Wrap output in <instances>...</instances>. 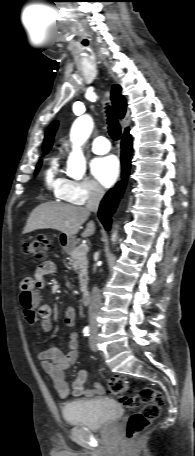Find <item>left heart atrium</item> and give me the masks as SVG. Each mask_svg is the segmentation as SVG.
<instances>
[{
    "label": "left heart atrium",
    "mask_w": 195,
    "mask_h": 456,
    "mask_svg": "<svg viewBox=\"0 0 195 456\" xmlns=\"http://www.w3.org/2000/svg\"><path fill=\"white\" fill-rule=\"evenodd\" d=\"M94 178L104 187H110L119 176L120 164L116 156L107 155L95 158L90 165Z\"/></svg>",
    "instance_id": "1"
}]
</instances>
